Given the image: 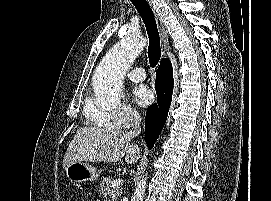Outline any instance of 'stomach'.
I'll return each mask as SVG.
<instances>
[{"instance_id":"stomach-1","label":"stomach","mask_w":271,"mask_h":201,"mask_svg":"<svg viewBox=\"0 0 271 201\" xmlns=\"http://www.w3.org/2000/svg\"><path fill=\"white\" fill-rule=\"evenodd\" d=\"M66 176L72 183L97 180L100 171L84 162H74L65 168Z\"/></svg>"}]
</instances>
